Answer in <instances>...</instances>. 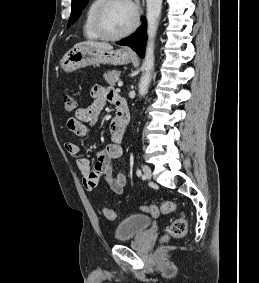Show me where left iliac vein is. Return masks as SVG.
Wrapping results in <instances>:
<instances>
[{
	"mask_svg": "<svg viewBox=\"0 0 259 283\" xmlns=\"http://www.w3.org/2000/svg\"><path fill=\"white\" fill-rule=\"evenodd\" d=\"M143 173H144V177L147 179V180H150L151 179V176H152V173H151V169L149 166L147 165H143Z\"/></svg>",
	"mask_w": 259,
	"mask_h": 283,
	"instance_id": "obj_1",
	"label": "left iliac vein"
}]
</instances>
